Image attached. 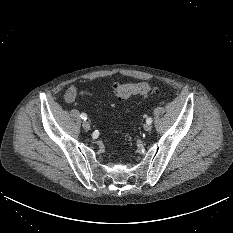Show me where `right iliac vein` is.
<instances>
[{"label": "right iliac vein", "mask_w": 233, "mask_h": 233, "mask_svg": "<svg viewBox=\"0 0 233 233\" xmlns=\"http://www.w3.org/2000/svg\"><path fill=\"white\" fill-rule=\"evenodd\" d=\"M82 126L86 131L90 130V124L88 121H84Z\"/></svg>", "instance_id": "1"}]
</instances>
